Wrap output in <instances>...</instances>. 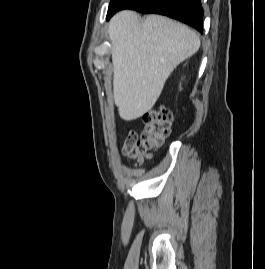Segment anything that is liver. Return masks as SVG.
<instances>
[{"instance_id":"6515ba94","label":"liver","mask_w":265,"mask_h":269,"mask_svg":"<svg viewBox=\"0 0 265 269\" xmlns=\"http://www.w3.org/2000/svg\"><path fill=\"white\" fill-rule=\"evenodd\" d=\"M113 97L119 115L132 121L151 110L172 71L200 47L195 31L160 15L141 21L121 11L110 21Z\"/></svg>"}]
</instances>
